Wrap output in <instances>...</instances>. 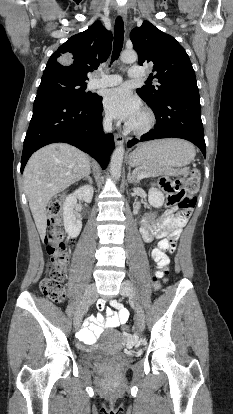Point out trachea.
<instances>
[{"label": "trachea", "mask_w": 233, "mask_h": 414, "mask_svg": "<svg viewBox=\"0 0 233 414\" xmlns=\"http://www.w3.org/2000/svg\"><path fill=\"white\" fill-rule=\"evenodd\" d=\"M124 40V23L121 17H117L114 26V47L112 61L117 60L122 50Z\"/></svg>", "instance_id": "1"}]
</instances>
